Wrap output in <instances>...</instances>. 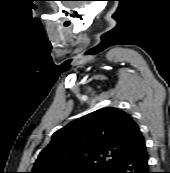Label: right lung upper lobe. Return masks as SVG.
<instances>
[{"mask_svg": "<svg viewBox=\"0 0 170 173\" xmlns=\"http://www.w3.org/2000/svg\"><path fill=\"white\" fill-rule=\"evenodd\" d=\"M144 145L145 139L128 113L102 108L56 131L31 173L106 169Z\"/></svg>", "mask_w": 170, "mask_h": 173, "instance_id": "right-lung-upper-lobe-1", "label": "right lung upper lobe"}]
</instances>
